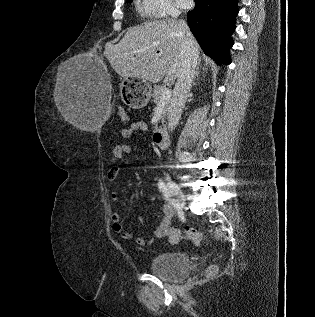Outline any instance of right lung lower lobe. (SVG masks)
<instances>
[{
	"instance_id": "1",
	"label": "right lung lower lobe",
	"mask_w": 315,
	"mask_h": 317,
	"mask_svg": "<svg viewBox=\"0 0 315 317\" xmlns=\"http://www.w3.org/2000/svg\"><path fill=\"white\" fill-rule=\"evenodd\" d=\"M238 0H195L188 25L206 55L217 64L230 62L231 35L235 30Z\"/></svg>"
}]
</instances>
